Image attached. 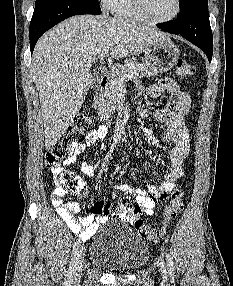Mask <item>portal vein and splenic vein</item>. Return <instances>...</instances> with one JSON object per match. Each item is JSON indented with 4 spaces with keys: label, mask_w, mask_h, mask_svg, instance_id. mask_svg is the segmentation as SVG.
I'll return each instance as SVG.
<instances>
[{
    "label": "portal vein and splenic vein",
    "mask_w": 233,
    "mask_h": 286,
    "mask_svg": "<svg viewBox=\"0 0 233 286\" xmlns=\"http://www.w3.org/2000/svg\"><path fill=\"white\" fill-rule=\"evenodd\" d=\"M109 50H110V47H109V46L104 47L103 50H102V52H101V54H100V57H101V58L104 57V56L109 52ZM122 78H123V79H129V78H130V75H128V74L123 75Z\"/></svg>",
    "instance_id": "18ae733b"
}]
</instances>
